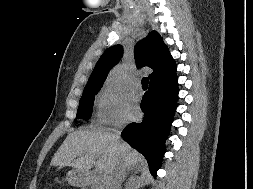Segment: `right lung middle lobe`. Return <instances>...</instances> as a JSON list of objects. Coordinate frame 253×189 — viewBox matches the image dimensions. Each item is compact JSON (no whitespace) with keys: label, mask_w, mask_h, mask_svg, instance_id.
<instances>
[{"label":"right lung middle lobe","mask_w":253,"mask_h":189,"mask_svg":"<svg viewBox=\"0 0 253 189\" xmlns=\"http://www.w3.org/2000/svg\"><path fill=\"white\" fill-rule=\"evenodd\" d=\"M100 89L83 91V95L79 101L76 119L88 120L92 115V107L95 95Z\"/></svg>","instance_id":"1"}]
</instances>
